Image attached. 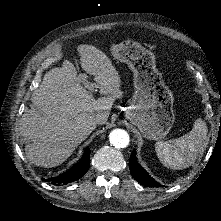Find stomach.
Here are the masks:
<instances>
[{
    "label": "stomach",
    "mask_w": 221,
    "mask_h": 221,
    "mask_svg": "<svg viewBox=\"0 0 221 221\" xmlns=\"http://www.w3.org/2000/svg\"><path fill=\"white\" fill-rule=\"evenodd\" d=\"M113 56L126 62L134 73V95L126 118L150 140L166 137L175 121L173 94L161 81L156 58L142 45H113Z\"/></svg>",
    "instance_id": "obj_1"
}]
</instances>
